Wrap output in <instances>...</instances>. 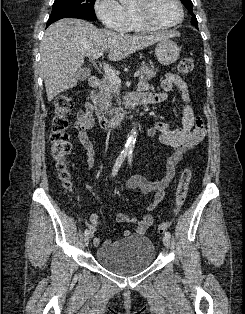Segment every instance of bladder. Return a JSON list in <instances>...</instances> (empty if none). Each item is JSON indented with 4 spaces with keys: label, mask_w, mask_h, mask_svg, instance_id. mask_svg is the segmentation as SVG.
<instances>
[{
    "label": "bladder",
    "mask_w": 245,
    "mask_h": 314,
    "mask_svg": "<svg viewBox=\"0 0 245 314\" xmlns=\"http://www.w3.org/2000/svg\"><path fill=\"white\" fill-rule=\"evenodd\" d=\"M156 256L153 242L146 236H129L109 242L96 251L97 261L120 275H132L152 264Z\"/></svg>",
    "instance_id": "1"
}]
</instances>
